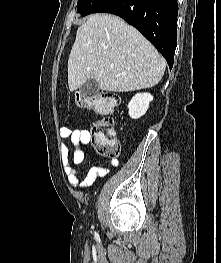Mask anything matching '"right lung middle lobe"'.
<instances>
[{
	"instance_id": "1",
	"label": "right lung middle lobe",
	"mask_w": 221,
	"mask_h": 263,
	"mask_svg": "<svg viewBox=\"0 0 221 263\" xmlns=\"http://www.w3.org/2000/svg\"><path fill=\"white\" fill-rule=\"evenodd\" d=\"M104 1L105 0H78L77 12L80 13L81 16L91 14Z\"/></svg>"
}]
</instances>
